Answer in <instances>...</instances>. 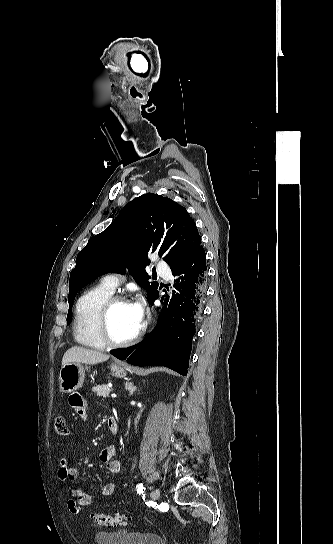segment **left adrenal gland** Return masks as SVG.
<instances>
[{
  "label": "left adrenal gland",
  "instance_id": "obj_1",
  "mask_svg": "<svg viewBox=\"0 0 333 544\" xmlns=\"http://www.w3.org/2000/svg\"><path fill=\"white\" fill-rule=\"evenodd\" d=\"M126 390L129 391V396L133 395L137 387H134L131 382H127L125 385Z\"/></svg>",
  "mask_w": 333,
  "mask_h": 544
}]
</instances>
